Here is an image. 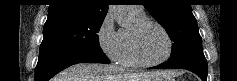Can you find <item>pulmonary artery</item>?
Listing matches in <instances>:
<instances>
[{"mask_svg":"<svg viewBox=\"0 0 237 81\" xmlns=\"http://www.w3.org/2000/svg\"><path fill=\"white\" fill-rule=\"evenodd\" d=\"M127 9L128 11L139 13V14L144 13V9L142 6H128Z\"/></svg>","mask_w":237,"mask_h":81,"instance_id":"pulmonary-artery-1","label":"pulmonary artery"}]
</instances>
